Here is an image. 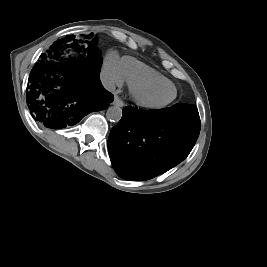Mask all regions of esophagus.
<instances>
[{
	"label": "esophagus",
	"instance_id": "esophagus-1",
	"mask_svg": "<svg viewBox=\"0 0 267 267\" xmlns=\"http://www.w3.org/2000/svg\"><path fill=\"white\" fill-rule=\"evenodd\" d=\"M113 105L123 107L125 104L118 96H115L114 101H113Z\"/></svg>",
	"mask_w": 267,
	"mask_h": 267
}]
</instances>
